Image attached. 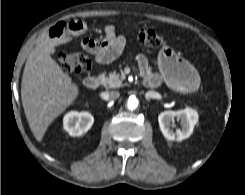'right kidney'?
I'll return each mask as SVG.
<instances>
[{"mask_svg":"<svg viewBox=\"0 0 245 195\" xmlns=\"http://www.w3.org/2000/svg\"><path fill=\"white\" fill-rule=\"evenodd\" d=\"M94 118L88 112H68L63 119V127L71 136H80L93 125Z\"/></svg>","mask_w":245,"mask_h":195,"instance_id":"ca27d5eb","label":"right kidney"}]
</instances>
